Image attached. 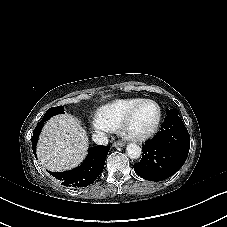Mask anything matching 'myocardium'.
I'll return each mask as SVG.
<instances>
[{"instance_id":"f54148a6","label":"myocardium","mask_w":227,"mask_h":227,"mask_svg":"<svg viewBox=\"0 0 227 227\" xmlns=\"http://www.w3.org/2000/svg\"><path fill=\"white\" fill-rule=\"evenodd\" d=\"M144 103L154 104L157 107L158 117H157L155 124L152 126V128L150 130H148L146 132L137 133V132L128 131L127 125L129 123L131 117L133 116L135 111ZM161 118H162V111H161L160 105L152 99H142L138 103H136L123 117V119L121 120L119 127H118V133H119V135H121L123 138H125L127 140H132V141L144 140L146 138H149L150 136H152L155 133V131L159 127Z\"/></svg>"}]
</instances>
